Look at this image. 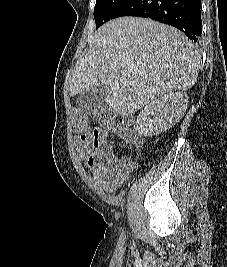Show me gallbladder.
Returning <instances> with one entry per match:
<instances>
[{
	"instance_id": "obj_1",
	"label": "gallbladder",
	"mask_w": 227,
	"mask_h": 267,
	"mask_svg": "<svg viewBox=\"0 0 227 267\" xmlns=\"http://www.w3.org/2000/svg\"><path fill=\"white\" fill-rule=\"evenodd\" d=\"M105 95V88L103 86H96L80 93L76 104L82 112L89 115L96 114L104 107Z\"/></svg>"
}]
</instances>
